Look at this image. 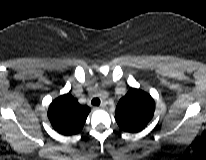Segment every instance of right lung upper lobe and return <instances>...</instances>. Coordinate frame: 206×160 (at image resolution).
Wrapping results in <instances>:
<instances>
[{"label":"right lung upper lobe","instance_id":"cb5924a9","mask_svg":"<svg viewBox=\"0 0 206 160\" xmlns=\"http://www.w3.org/2000/svg\"><path fill=\"white\" fill-rule=\"evenodd\" d=\"M89 112L88 106L79 104L76 98L67 93L52 101L47 115L58 133L69 136L82 130Z\"/></svg>","mask_w":206,"mask_h":160}]
</instances>
